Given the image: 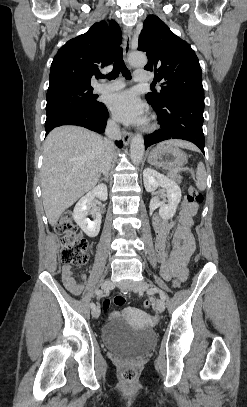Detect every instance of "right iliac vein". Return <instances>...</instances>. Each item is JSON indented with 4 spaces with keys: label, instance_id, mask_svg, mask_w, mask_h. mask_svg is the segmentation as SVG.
Wrapping results in <instances>:
<instances>
[{
    "label": "right iliac vein",
    "instance_id": "right-iliac-vein-1",
    "mask_svg": "<svg viewBox=\"0 0 247 407\" xmlns=\"http://www.w3.org/2000/svg\"><path fill=\"white\" fill-rule=\"evenodd\" d=\"M113 286H114V283H113L112 281H110L109 279L103 281V283H102V288H103L104 290L112 289ZM92 316H93L94 318H98V317L100 316V307H99V306L95 307V308L92 310Z\"/></svg>",
    "mask_w": 247,
    "mask_h": 407
}]
</instances>
